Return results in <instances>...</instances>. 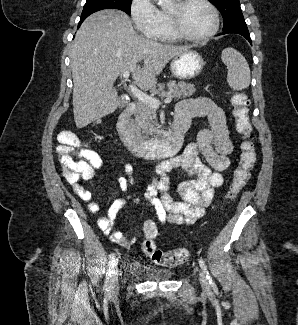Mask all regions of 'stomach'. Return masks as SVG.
Here are the masks:
<instances>
[{
  "mask_svg": "<svg viewBox=\"0 0 298 325\" xmlns=\"http://www.w3.org/2000/svg\"><path fill=\"white\" fill-rule=\"evenodd\" d=\"M206 60L196 48H189L186 52L173 56L169 70L172 76L179 78V80H189V78H195L200 72H202Z\"/></svg>",
  "mask_w": 298,
  "mask_h": 325,
  "instance_id": "1",
  "label": "stomach"
}]
</instances>
